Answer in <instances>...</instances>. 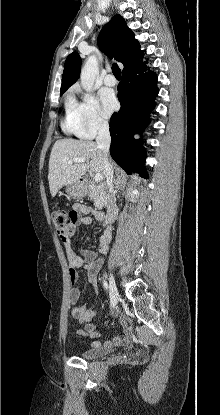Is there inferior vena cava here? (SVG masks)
<instances>
[{"label": "inferior vena cava", "instance_id": "1", "mask_svg": "<svg viewBox=\"0 0 220 415\" xmlns=\"http://www.w3.org/2000/svg\"><path fill=\"white\" fill-rule=\"evenodd\" d=\"M110 132L109 125L106 122H101L98 126V136L96 137V143L98 148L102 151L104 176L109 189L108 195V221H113V210L115 208V195H114V180H113V166L109 161V147H110Z\"/></svg>", "mask_w": 220, "mask_h": 415}]
</instances>
